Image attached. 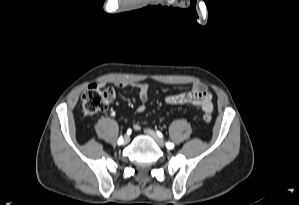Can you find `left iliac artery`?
Segmentation results:
<instances>
[{
	"label": "left iliac artery",
	"instance_id": "left-iliac-artery-1",
	"mask_svg": "<svg viewBox=\"0 0 299 205\" xmlns=\"http://www.w3.org/2000/svg\"><path fill=\"white\" fill-rule=\"evenodd\" d=\"M166 147H167L168 149H173V148H174V144L171 143V142H167V143H166Z\"/></svg>",
	"mask_w": 299,
	"mask_h": 205
}]
</instances>
